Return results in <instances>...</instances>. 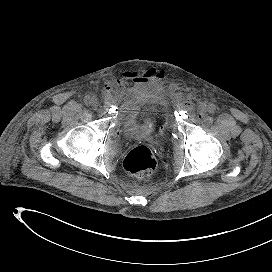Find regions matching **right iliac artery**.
<instances>
[{
    "label": "right iliac artery",
    "instance_id": "right-iliac-artery-1",
    "mask_svg": "<svg viewBox=\"0 0 272 272\" xmlns=\"http://www.w3.org/2000/svg\"><path fill=\"white\" fill-rule=\"evenodd\" d=\"M84 102H85L86 105H90L91 104V97L90 96H86L84 98Z\"/></svg>",
    "mask_w": 272,
    "mask_h": 272
}]
</instances>
